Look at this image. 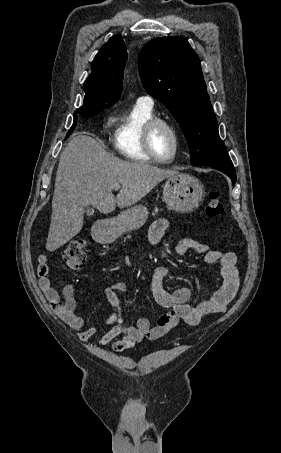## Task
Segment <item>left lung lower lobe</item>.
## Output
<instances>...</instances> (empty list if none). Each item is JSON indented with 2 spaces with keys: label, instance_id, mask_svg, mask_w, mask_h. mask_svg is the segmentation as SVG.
<instances>
[{
  "label": "left lung lower lobe",
  "instance_id": "0a47b994",
  "mask_svg": "<svg viewBox=\"0 0 281 453\" xmlns=\"http://www.w3.org/2000/svg\"><path fill=\"white\" fill-rule=\"evenodd\" d=\"M208 166L213 167V168L223 172L224 174L228 175L232 180V184H235L236 172L233 167V164H231V165H208Z\"/></svg>",
  "mask_w": 281,
  "mask_h": 453
}]
</instances>
